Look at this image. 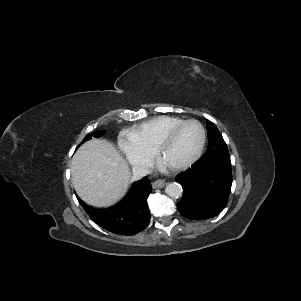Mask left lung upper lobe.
<instances>
[{
	"mask_svg": "<svg viewBox=\"0 0 301 301\" xmlns=\"http://www.w3.org/2000/svg\"><path fill=\"white\" fill-rule=\"evenodd\" d=\"M207 131L209 140L208 149L200 159L203 160L213 157H219L230 160L227 145L221 133L219 132L215 124L209 120H207Z\"/></svg>",
	"mask_w": 301,
	"mask_h": 301,
	"instance_id": "left-lung-upper-lobe-1",
	"label": "left lung upper lobe"
}]
</instances>
